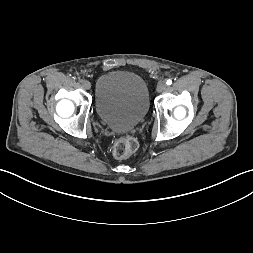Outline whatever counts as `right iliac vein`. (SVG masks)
<instances>
[{
	"label": "right iliac vein",
	"mask_w": 253,
	"mask_h": 253,
	"mask_svg": "<svg viewBox=\"0 0 253 253\" xmlns=\"http://www.w3.org/2000/svg\"><path fill=\"white\" fill-rule=\"evenodd\" d=\"M82 87L86 90H89L91 88V83L87 80H85L83 83H82Z\"/></svg>",
	"instance_id": "right-iliac-vein-1"
}]
</instances>
